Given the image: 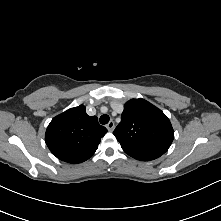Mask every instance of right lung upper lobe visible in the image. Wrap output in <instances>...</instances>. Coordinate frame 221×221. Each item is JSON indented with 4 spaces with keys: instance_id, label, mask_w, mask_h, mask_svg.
Returning a JSON list of instances; mask_svg holds the SVG:
<instances>
[{
    "instance_id": "obj_1",
    "label": "right lung upper lobe",
    "mask_w": 221,
    "mask_h": 221,
    "mask_svg": "<svg viewBox=\"0 0 221 221\" xmlns=\"http://www.w3.org/2000/svg\"><path fill=\"white\" fill-rule=\"evenodd\" d=\"M107 129L96 116H88L80 105L54 117L47 127L45 141L58 159L77 164L89 159L97 150Z\"/></svg>"
}]
</instances>
